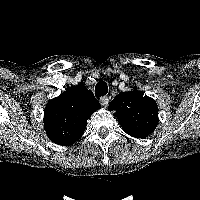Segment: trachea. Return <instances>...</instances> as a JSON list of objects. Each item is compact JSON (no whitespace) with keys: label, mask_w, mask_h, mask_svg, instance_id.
Wrapping results in <instances>:
<instances>
[{"label":"trachea","mask_w":200,"mask_h":200,"mask_svg":"<svg viewBox=\"0 0 200 200\" xmlns=\"http://www.w3.org/2000/svg\"><path fill=\"white\" fill-rule=\"evenodd\" d=\"M108 92V86H107V83L100 80L96 86H95V95L96 97H101V96H104L106 95Z\"/></svg>","instance_id":"1"}]
</instances>
